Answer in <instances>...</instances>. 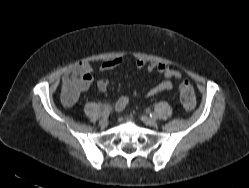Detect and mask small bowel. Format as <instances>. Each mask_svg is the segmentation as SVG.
<instances>
[{
  "mask_svg": "<svg viewBox=\"0 0 249 188\" xmlns=\"http://www.w3.org/2000/svg\"><path fill=\"white\" fill-rule=\"evenodd\" d=\"M122 63L123 59L120 57L106 60L100 65V70L108 71L120 66ZM136 66L138 68L146 67V69L149 72L157 71L165 78L159 84L149 89L146 93L147 96H154L164 91H172L174 85L171 79L182 78V73L180 71L172 69L169 65L165 63H157V62L146 63L143 59H138L136 61ZM72 72H74V75L72 74ZM91 73H92L91 66L88 63H81L76 65L67 74H65L62 82H63V103L66 106H72L76 102L79 94L89 88V86L93 82V77ZM96 85L100 91L104 92L107 90L109 83L106 79H98L96 81ZM133 96L134 97L138 96V92L134 91ZM130 103H131V96L123 95L116 100V102L114 103V108L117 111H121L127 108L130 105Z\"/></svg>",
  "mask_w": 249,
  "mask_h": 188,
  "instance_id": "small-bowel-1",
  "label": "small bowel"
}]
</instances>
